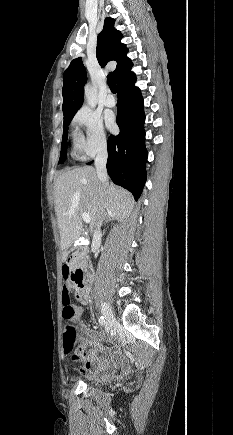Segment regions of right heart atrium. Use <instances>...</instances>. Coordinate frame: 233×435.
<instances>
[{"mask_svg": "<svg viewBox=\"0 0 233 435\" xmlns=\"http://www.w3.org/2000/svg\"><path fill=\"white\" fill-rule=\"evenodd\" d=\"M73 124L84 130L76 142L77 151L83 157H93L106 149L107 136L102 120L95 111L89 108L80 109L73 119Z\"/></svg>", "mask_w": 233, "mask_h": 435, "instance_id": "right-heart-atrium-1", "label": "right heart atrium"}]
</instances>
